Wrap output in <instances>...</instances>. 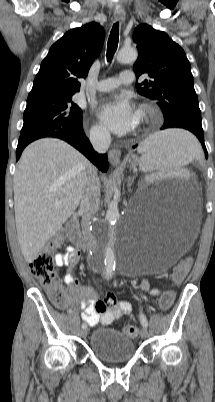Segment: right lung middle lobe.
I'll use <instances>...</instances> for the list:
<instances>
[{
  "label": "right lung middle lobe",
  "instance_id": "obj_1",
  "mask_svg": "<svg viewBox=\"0 0 215 402\" xmlns=\"http://www.w3.org/2000/svg\"><path fill=\"white\" fill-rule=\"evenodd\" d=\"M23 119L18 145L81 126L82 110L72 101V94L44 93L28 96Z\"/></svg>",
  "mask_w": 215,
  "mask_h": 402
}]
</instances>
